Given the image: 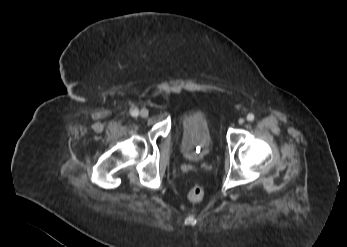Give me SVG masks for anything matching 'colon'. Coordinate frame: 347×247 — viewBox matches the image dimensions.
Here are the masks:
<instances>
[{
    "label": "colon",
    "mask_w": 347,
    "mask_h": 247,
    "mask_svg": "<svg viewBox=\"0 0 347 247\" xmlns=\"http://www.w3.org/2000/svg\"><path fill=\"white\" fill-rule=\"evenodd\" d=\"M188 198L192 202H200L204 198L203 187L198 184L193 185L188 192Z\"/></svg>",
    "instance_id": "5ec220e1"
}]
</instances>
